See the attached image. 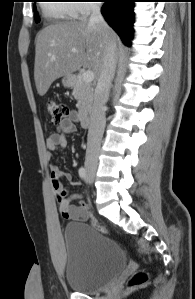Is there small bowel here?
Instances as JSON below:
<instances>
[{"instance_id": "1", "label": "small bowel", "mask_w": 195, "mask_h": 299, "mask_svg": "<svg viewBox=\"0 0 195 299\" xmlns=\"http://www.w3.org/2000/svg\"><path fill=\"white\" fill-rule=\"evenodd\" d=\"M78 121V115L75 111H71L68 118L64 119L56 132H53L47 139V148L50 151H59L66 147L67 139L66 136L72 133L76 129V123ZM60 179H65L72 182V176L69 173L63 172L57 166L51 167V181L52 186L57 194L59 203V211L65 219L83 221L85 217L80 213L81 204L79 206L72 204V201L81 199L80 193H75L68 196V191L63 187ZM58 186H57V184ZM77 185L76 182H72ZM58 193L61 196H58ZM85 206V205H84Z\"/></svg>"}]
</instances>
